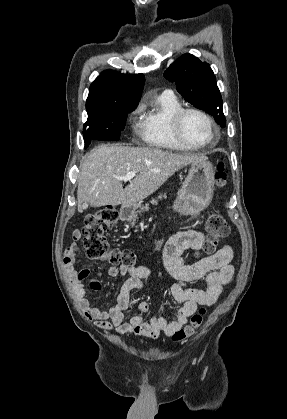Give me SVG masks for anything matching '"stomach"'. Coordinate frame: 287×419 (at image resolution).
<instances>
[{"instance_id":"obj_1","label":"stomach","mask_w":287,"mask_h":419,"mask_svg":"<svg viewBox=\"0 0 287 419\" xmlns=\"http://www.w3.org/2000/svg\"><path fill=\"white\" fill-rule=\"evenodd\" d=\"M214 168L207 161H199L191 164L188 175L183 182L174 209L180 214L197 215L204 210L212 200L214 190ZM122 205L119 217L122 221L134 222L137 218V208Z\"/></svg>"}]
</instances>
